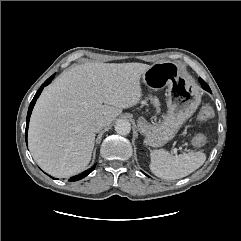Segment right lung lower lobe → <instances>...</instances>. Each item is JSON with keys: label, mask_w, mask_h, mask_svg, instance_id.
I'll list each match as a JSON object with an SVG mask.
<instances>
[{"label": "right lung lower lobe", "mask_w": 241, "mask_h": 241, "mask_svg": "<svg viewBox=\"0 0 241 241\" xmlns=\"http://www.w3.org/2000/svg\"><path fill=\"white\" fill-rule=\"evenodd\" d=\"M54 78V75H52L50 78H48L42 85H41V88L37 91V93L35 94L33 100L31 101L30 103V106H29V109H28V114H27V123H26V131H25V138H26V141H27V132H28V125H29V119H30V116H31V112H32V109L35 105V102L37 100V98L39 97V95L41 94L43 88L45 86H47L51 81L52 79ZM96 164L93 165L90 169L86 170L85 172L81 173L80 175H77V176H74L72 178H70V181H77V180H80L82 178H84L85 176H87L89 173H91L94 168H95Z\"/></svg>", "instance_id": "98d812e1"}]
</instances>
